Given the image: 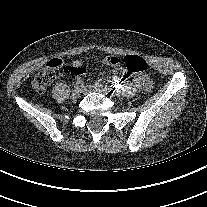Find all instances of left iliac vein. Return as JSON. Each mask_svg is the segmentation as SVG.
<instances>
[{
  "label": "left iliac vein",
  "instance_id": "4c4485c4",
  "mask_svg": "<svg viewBox=\"0 0 207 207\" xmlns=\"http://www.w3.org/2000/svg\"><path fill=\"white\" fill-rule=\"evenodd\" d=\"M92 91L104 93V95L106 96L107 99L111 98L110 92L107 91L104 88L91 86V85H85V86L82 87V92L83 93H89V92H92Z\"/></svg>",
  "mask_w": 207,
  "mask_h": 207
}]
</instances>
